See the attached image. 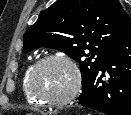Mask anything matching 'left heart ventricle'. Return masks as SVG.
Returning <instances> with one entry per match:
<instances>
[{"instance_id": "1", "label": "left heart ventricle", "mask_w": 131, "mask_h": 115, "mask_svg": "<svg viewBox=\"0 0 131 115\" xmlns=\"http://www.w3.org/2000/svg\"><path fill=\"white\" fill-rule=\"evenodd\" d=\"M73 72L63 61L53 60L45 63L37 72L35 78L36 89L57 99L64 96L72 87Z\"/></svg>"}]
</instances>
